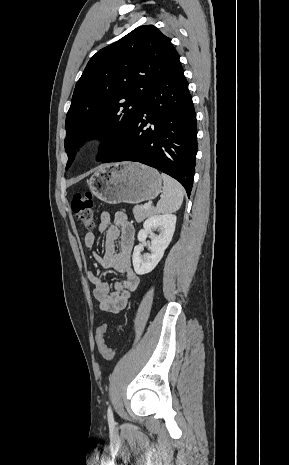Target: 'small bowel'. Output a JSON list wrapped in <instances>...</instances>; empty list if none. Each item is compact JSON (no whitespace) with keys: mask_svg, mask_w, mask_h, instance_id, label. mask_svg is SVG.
<instances>
[{"mask_svg":"<svg viewBox=\"0 0 289 465\" xmlns=\"http://www.w3.org/2000/svg\"><path fill=\"white\" fill-rule=\"evenodd\" d=\"M98 234L106 235L105 252L103 256L94 253L97 262L105 269L119 272L122 278L111 291L107 281L92 270L87 271V278L94 285L93 294L104 312L116 314L123 310L131 294L137 289L140 279L132 268L131 253L134 244V227L122 212L113 217L104 211L100 215L97 227ZM94 233L84 236V245L92 248L95 245ZM119 242V245H117Z\"/></svg>","mask_w":289,"mask_h":465,"instance_id":"obj_1","label":"small bowel"}]
</instances>
